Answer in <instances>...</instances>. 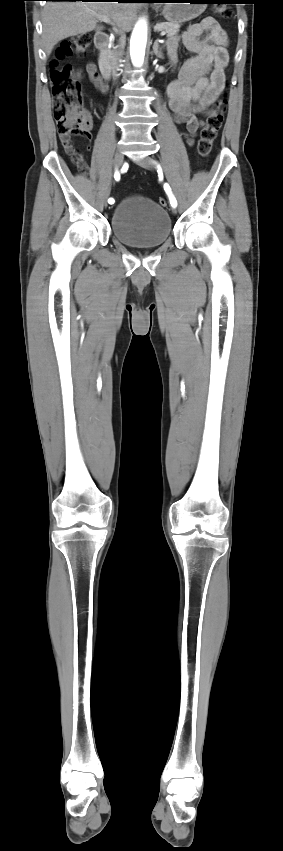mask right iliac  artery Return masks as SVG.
Returning a JSON list of instances; mask_svg holds the SVG:
<instances>
[{
  "instance_id": "right-iliac-artery-1",
  "label": "right iliac artery",
  "mask_w": 283,
  "mask_h": 851,
  "mask_svg": "<svg viewBox=\"0 0 283 851\" xmlns=\"http://www.w3.org/2000/svg\"><path fill=\"white\" fill-rule=\"evenodd\" d=\"M114 178L117 180V183H118V184L121 182V181L119 180V178H120V174H119L117 171H116V172H115V174H114ZM108 202H109V204H113V203H114V199L110 198V199H108Z\"/></svg>"
}]
</instances>
